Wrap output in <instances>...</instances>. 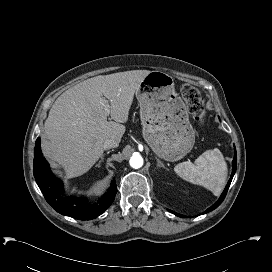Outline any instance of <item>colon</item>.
<instances>
[{"mask_svg": "<svg viewBox=\"0 0 272 272\" xmlns=\"http://www.w3.org/2000/svg\"><path fill=\"white\" fill-rule=\"evenodd\" d=\"M180 95L194 120L200 123L203 122L205 119V107L199 91L195 87L185 84L180 88Z\"/></svg>", "mask_w": 272, "mask_h": 272, "instance_id": "obj_1", "label": "colon"}]
</instances>
